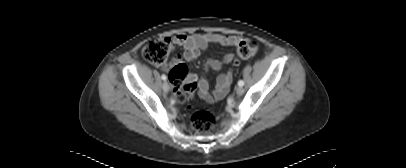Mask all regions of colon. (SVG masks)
Here are the masks:
<instances>
[{"mask_svg": "<svg viewBox=\"0 0 406 168\" xmlns=\"http://www.w3.org/2000/svg\"><path fill=\"white\" fill-rule=\"evenodd\" d=\"M172 49V42L168 38H159L148 42L142 49L144 59L152 64H163L168 58ZM258 52L256 42L241 41L237 49V58L234 60L238 64L241 59H248ZM185 64H177L171 70V80L173 83L172 92L174 99L179 103H185L191 98L196 88L195 82H182L188 73ZM192 128L199 134L208 135L213 132L216 119L207 111H197L191 117Z\"/></svg>", "mask_w": 406, "mask_h": 168, "instance_id": "1", "label": "colon"}]
</instances>
